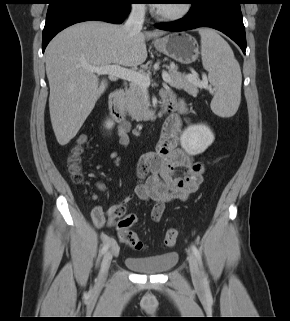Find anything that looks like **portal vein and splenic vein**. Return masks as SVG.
Listing matches in <instances>:
<instances>
[{"mask_svg":"<svg viewBox=\"0 0 290 321\" xmlns=\"http://www.w3.org/2000/svg\"><path fill=\"white\" fill-rule=\"evenodd\" d=\"M89 71L94 72L98 75H109L112 77L121 78L124 80H128L130 82H133L135 84H138L142 87H148L150 85V77L148 75H145L141 72H137L134 70H130L127 68L120 67L119 65H107V66H101V67H88ZM197 75H189L188 79L193 80L197 82L198 86L200 87H206L207 86V79L206 77L203 78L202 82H199L196 79ZM162 78L166 83L171 82V76L168 72L163 71L162 72Z\"/></svg>","mask_w":290,"mask_h":321,"instance_id":"1","label":"portal vein and splenic vein"}]
</instances>
